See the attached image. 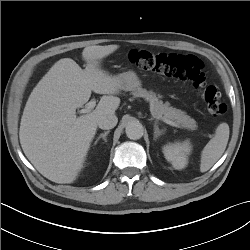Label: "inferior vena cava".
<instances>
[{
    "mask_svg": "<svg viewBox=\"0 0 250 250\" xmlns=\"http://www.w3.org/2000/svg\"><path fill=\"white\" fill-rule=\"evenodd\" d=\"M117 122L118 118L115 114L104 115L99 118L98 126L101 129L108 130L114 128Z\"/></svg>",
    "mask_w": 250,
    "mask_h": 250,
    "instance_id": "obj_1",
    "label": "inferior vena cava"
}]
</instances>
